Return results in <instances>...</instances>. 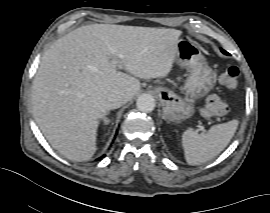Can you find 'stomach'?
Masks as SVG:
<instances>
[{
	"mask_svg": "<svg viewBox=\"0 0 270 213\" xmlns=\"http://www.w3.org/2000/svg\"><path fill=\"white\" fill-rule=\"evenodd\" d=\"M176 63L190 69L183 98L164 86H156L163 109V118L179 123L192 118L195 113V101L207 95L216 83V73L206 64L198 48L191 42L179 39Z\"/></svg>",
	"mask_w": 270,
	"mask_h": 213,
	"instance_id": "stomach-1",
	"label": "stomach"
}]
</instances>
